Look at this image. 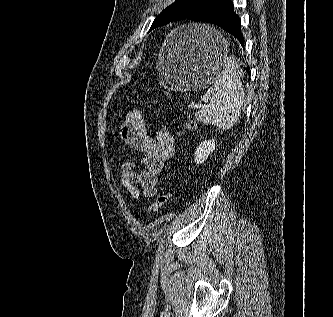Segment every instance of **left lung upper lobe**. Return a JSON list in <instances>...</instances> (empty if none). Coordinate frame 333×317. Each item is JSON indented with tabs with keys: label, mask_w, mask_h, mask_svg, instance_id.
<instances>
[{
	"label": "left lung upper lobe",
	"mask_w": 333,
	"mask_h": 317,
	"mask_svg": "<svg viewBox=\"0 0 333 317\" xmlns=\"http://www.w3.org/2000/svg\"><path fill=\"white\" fill-rule=\"evenodd\" d=\"M212 1L213 0H176L156 17L150 31L168 22L183 19L188 12L203 5H207Z\"/></svg>",
	"instance_id": "obj_1"
}]
</instances>
